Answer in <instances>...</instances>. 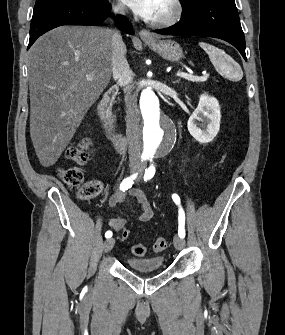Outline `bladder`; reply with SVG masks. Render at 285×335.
<instances>
[{
  "instance_id": "obj_1",
  "label": "bladder",
  "mask_w": 285,
  "mask_h": 335,
  "mask_svg": "<svg viewBox=\"0 0 285 335\" xmlns=\"http://www.w3.org/2000/svg\"><path fill=\"white\" fill-rule=\"evenodd\" d=\"M127 265L132 266V272H160L164 255L154 254L148 257H126Z\"/></svg>"
}]
</instances>
